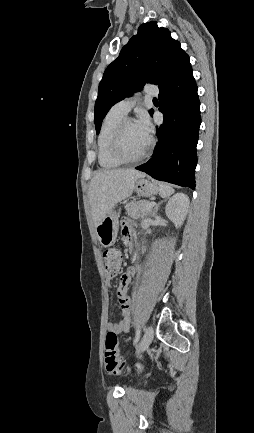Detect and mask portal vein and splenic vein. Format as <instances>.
<instances>
[{
	"instance_id": "18ae733b",
	"label": "portal vein and splenic vein",
	"mask_w": 254,
	"mask_h": 433,
	"mask_svg": "<svg viewBox=\"0 0 254 433\" xmlns=\"http://www.w3.org/2000/svg\"><path fill=\"white\" fill-rule=\"evenodd\" d=\"M155 205V202H150L148 205H147V207L148 208H151V207H153Z\"/></svg>"
}]
</instances>
